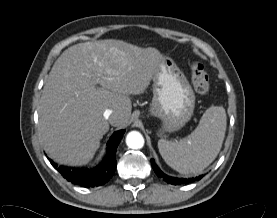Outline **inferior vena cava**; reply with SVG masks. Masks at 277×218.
Returning a JSON list of instances; mask_svg holds the SVG:
<instances>
[{"label":"inferior vena cava","mask_w":277,"mask_h":218,"mask_svg":"<svg viewBox=\"0 0 277 218\" xmlns=\"http://www.w3.org/2000/svg\"><path fill=\"white\" fill-rule=\"evenodd\" d=\"M103 116L105 117V119L111 120V118L113 117V111L110 109H106Z\"/></svg>","instance_id":"1"}]
</instances>
